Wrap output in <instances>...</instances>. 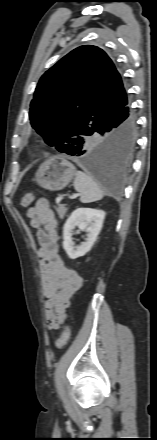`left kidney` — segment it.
Instances as JSON below:
<instances>
[{
  "instance_id": "obj_1",
  "label": "left kidney",
  "mask_w": 157,
  "mask_h": 440,
  "mask_svg": "<svg viewBox=\"0 0 157 440\" xmlns=\"http://www.w3.org/2000/svg\"><path fill=\"white\" fill-rule=\"evenodd\" d=\"M105 212L97 209L78 208L72 212L63 228V248L71 259L84 256L94 245L99 235ZM78 227L87 232L85 242L75 246L72 240V231Z\"/></svg>"
}]
</instances>
